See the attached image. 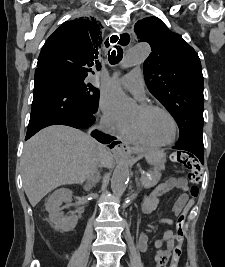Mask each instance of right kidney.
Instances as JSON below:
<instances>
[{
    "mask_svg": "<svg viewBox=\"0 0 225 267\" xmlns=\"http://www.w3.org/2000/svg\"><path fill=\"white\" fill-rule=\"evenodd\" d=\"M72 201V191L66 188H60L49 196L46 202V210L49 212V222L53 227L62 232H68L75 228L78 222V216L74 213L65 216L60 206L66 202L68 206Z\"/></svg>",
    "mask_w": 225,
    "mask_h": 267,
    "instance_id": "obj_1",
    "label": "right kidney"
}]
</instances>
